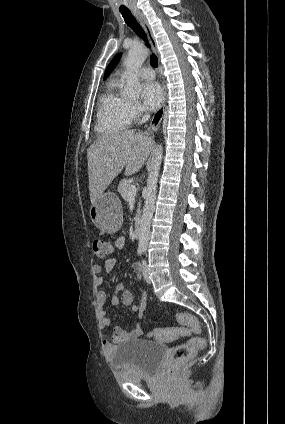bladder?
I'll return each instance as SVG.
<instances>
[{"mask_svg":"<svg viewBox=\"0 0 285 424\" xmlns=\"http://www.w3.org/2000/svg\"><path fill=\"white\" fill-rule=\"evenodd\" d=\"M166 350L162 343L131 339L116 347L112 363L130 373L149 374L156 370Z\"/></svg>","mask_w":285,"mask_h":424,"instance_id":"obj_1","label":"bladder"}]
</instances>
